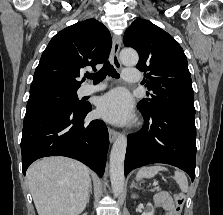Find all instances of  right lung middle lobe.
<instances>
[{
  "label": "right lung middle lobe",
  "mask_w": 223,
  "mask_h": 215,
  "mask_svg": "<svg viewBox=\"0 0 223 215\" xmlns=\"http://www.w3.org/2000/svg\"><path fill=\"white\" fill-rule=\"evenodd\" d=\"M83 107L76 91L50 90L30 93L26 115H33L55 109H77Z\"/></svg>",
  "instance_id": "obj_1"
}]
</instances>
